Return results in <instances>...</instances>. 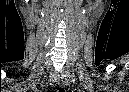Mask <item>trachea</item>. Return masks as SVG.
Returning a JSON list of instances; mask_svg holds the SVG:
<instances>
[{"mask_svg": "<svg viewBox=\"0 0 129 92\" xmlns=\"http://www.w3.org/2000/svg\"><path fill=\"white\" fill-rule=\"evenodd\" d=\"M59 92H65V90L63 88L59 89Z\"/></svg>", "mask_w": 129, "mask_h": 92, "instance_id": "3493384b", "label": "trachea"}]
</instances>
